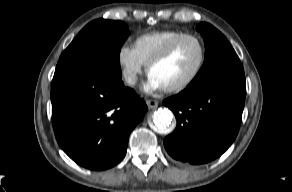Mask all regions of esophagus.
Here are the masks:
<instances>
[{
	"label": "esophagus",
	"mask_w": 292,
	"mask_h": 192,
	"mask_svg": "<svg viewBox=\"0 0 292 192\" xmlns=\"http://www.w3.org/2000/svg\"><path fill=\"white\" fill-rule=\"evenodd\" d=\"M146 104L149 109H156L158 107V102L156 100H146Z\"/></svg>",
	"instance_id": "esophagus-1"
}]
</instances>
